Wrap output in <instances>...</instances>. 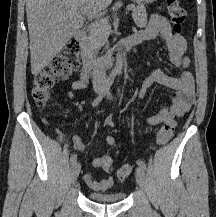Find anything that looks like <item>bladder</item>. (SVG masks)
<instances>
[{
  "instance_id": "bladder-1",
  "label": "bladder",
  "mask_w": 216,
  "mask_h": 217,
  "mask_svg": "<svg viewBox=\"0 0 216 217\" xmlns=\"http://www.w3.org/2000/svg\"><path fill=\"white\" fill-rule=\"evenodd\" d=\"M126 196L125 192H96V191H90L89 192V198L92 202L95 203H101V204H113V203H119L124 200Z\"/></svg>"
}]
</instances>
